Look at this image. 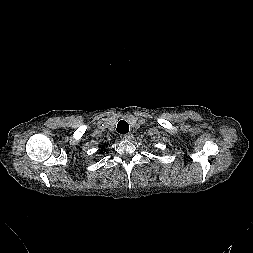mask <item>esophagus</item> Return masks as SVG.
Segmentation results:
<instances>
[{"label": "esophagus", "mask_w": 253, "mask_h": 253, "mask_svg": "<svg viewBox=\"0 0 253 253\" xmlns=\"http://www.w3.org/2000/svg\"><path fill=\"white\" fill-rule=\"evenodd\" d=\"M121 138H122L123 140H130V139L133 138V135H132L131 133L124 134V135L121 136Z\"/></svg>", "instance_id": "1"}]
</instances>
